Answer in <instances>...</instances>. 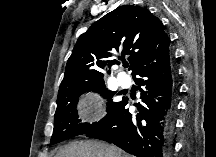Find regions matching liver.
Masks as SVG:
<instances>
[{
	"instance_id": "obj_1",
	"label": "liver",
	"mask_w": 216,
	"mask_h": 157,
	"mask_svg": "<svg viewBox=\"0 0 216 157\" xmlns=\"http://www.w3.org/2000/svg\"><path fill=\"white\" fill-rule=\"evenodd\" d=\"M55 157H129V154L114 145L100 141H86L64 146Z\"/></svg>"
}]
</instances>
